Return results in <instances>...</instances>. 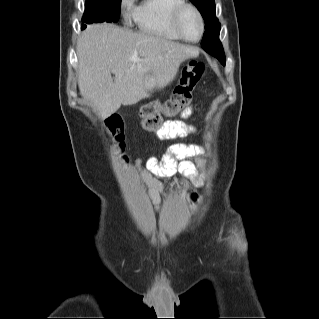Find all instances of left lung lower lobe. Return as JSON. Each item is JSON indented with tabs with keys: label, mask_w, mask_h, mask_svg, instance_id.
I'll return each mask as SVG.
<instances>
[{
	"label": "left lung lower lobe",
	"mask_w": 319,
	"mask_h": 319,
	"mask_svg": "<svg viewBox=\"0 0 319 319\" xmlns=\"http://www.w3.org/2000/svg\"><path fill=\"white\" fill-rule=\"evenodd\" d=\"M208 51H210L211 53H214L211 49H208ZM207 52V51H206ZM210 54V53H209Z\"/></svg>",
	"instance_id": "obj_1"
}]
</instances>
